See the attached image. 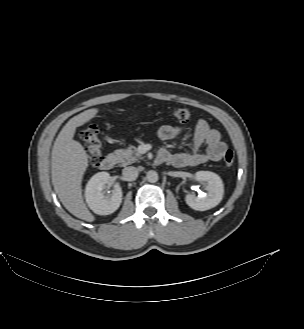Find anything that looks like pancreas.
Instances as JSON below:
<instances>
[{"label":"pancreas","instance_id":"pancreas-1","mask_svg":"<svg viewBox=\"0 0 304 329\" xmlns=\"http://www.w3.org/2000/svg\"><path fill=\"white\" fill-rule=\"evenodd\" d=\"M114 155L116 156L117 162L120 166H126L141 159V155L134 146H130L127 149L115 150Z\"/></svg>","mask_w":304,"mask_h":329}]
</instances>
